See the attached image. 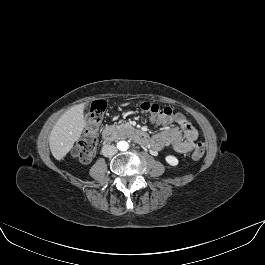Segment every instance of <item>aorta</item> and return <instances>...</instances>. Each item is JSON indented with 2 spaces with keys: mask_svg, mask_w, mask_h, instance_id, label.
Returning <instances> with one entry per match:
<instances>
[{
  "mask_svg": "<svg viewBox=\"0 0 265 265\" xmlns=\"http://www.w3.org/2000/svg\"><path fill=\"white\" fill-rule=\"evenodd\" d=\"M117 148L120 150V151H126L128 148H129V143L127 141H119L117 142Z\"/></svg>",
  "mask_w": 265,
  "mask_h": 265,
  "instance_id": "aorta-1",
  "label": "aorta"
}]
</instances>
